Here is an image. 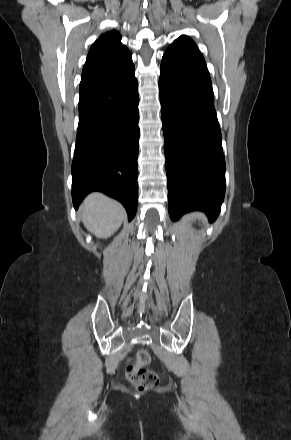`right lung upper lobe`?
I'll use <instances>...</instances> for the list:
<instances>
[{"label":"right lung upper lobe","mask_w":291,"mask_h":440,"mask_svg":"<svg viewBox=\"0 0 291 440\" xmlns=\"http://www.w3.org/2000/svg\"><path fill=\"white\" fill-rule=\"evenodd\" d=\"M131 53L116 31L102 34L94 42L83 68L81 81L117 75L132 68Z\"/></svg>","instance_id":"1"}]
</instances>
